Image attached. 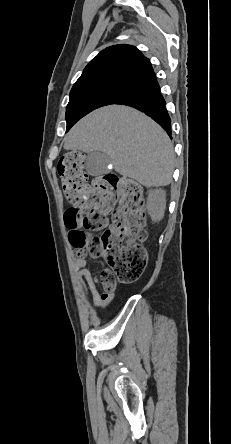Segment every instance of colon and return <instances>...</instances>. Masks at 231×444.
Masks as SVG:
<instances>
[{"label":"colon","mask_w":231,"mask_h":444,"mask_svg":"<svg viewBox=\"0 0 231 444\" xmlns=\"http://www.w3.org/2000/svg\"><path fill=\"white\" fill-rule=\"evenodd\" d=\"M58 173L70 207L65 225L82 234L85 255L103 256L109 269L101 272L103 291L112 293L118 283H132L143 274L148 261L142 246L146 237L144 199L140 185L133 179L106 174L89 181L84 156L68 152L61 156ZM112 225L101 236L89 234Z\"/></svg>","instance_id":"obj_1"}]
</instances>
